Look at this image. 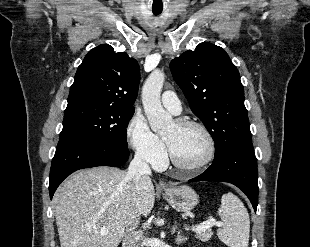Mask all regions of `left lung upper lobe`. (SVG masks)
Wrapping results in <instances>:
<instances>
[{
	"instance_id": "left-lung-upper-lobe-1",
	"label": "left lung upper lobe",
	"mask_w": 310,
	"mask_h": 247,
	"mask_svg": "<svg viewBox=\"0 0 310 247\" xmlns=\"http://www.w3.org/2000/svg\"><path fill=\"white\" fill-rule=\"evenodd\" d=\"M174 80L192 112L202 120L215 142V157L251 142L244 88L239 72L219 46L203 42L170 63Z\"/></svg>"
}]
</instances>
